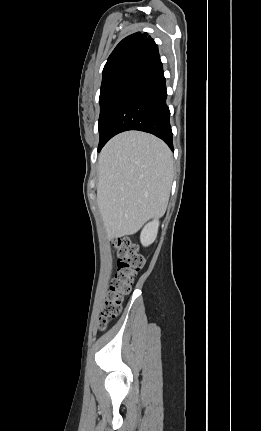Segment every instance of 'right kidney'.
Returning a JSON list of instances; mask_svg holds the SVG:
<instances>
[{"instance_id": "right-kidney-1", "label": "right kidney", "mask_w": 261, "mask_h": 431, "mask_svg": "<svg viewBox=\"0 0 261 431\" xmlns=\"http://www.w3.org/2000/svg\"><path fill=\"white\" fill-rule=\"evenodd\" d=\"M158 227L159 221L157 219H154L152 222H149L145 225L140 235V241L143 246H149L155 241L158 233Z\"/></svg>"}]
</instances>
